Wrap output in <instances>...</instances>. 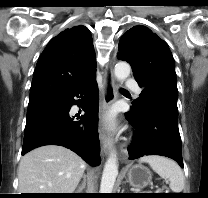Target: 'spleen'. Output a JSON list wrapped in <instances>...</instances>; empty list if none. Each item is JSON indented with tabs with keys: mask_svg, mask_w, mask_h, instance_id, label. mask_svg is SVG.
I'll list each match as a JSON object with an SVG mask.
<instances>
[{
	"mask_svg": "<svg viewBox=\"0 0 208 198\" xmlns=\"http://www.w3.org/2000/svg\"><path fill=\"white\" fill-rule=\"evenodd\" d=\"M146 162L162 178L168 179L173 193H181L184 188V174L174 161L161 156H144L140 159Z\"/></svg>",
	"mask_w": 208,
	"mask_h": 198,
	"instance_id": "obj_1",
	"label": "spleen"
}]
</instances>
